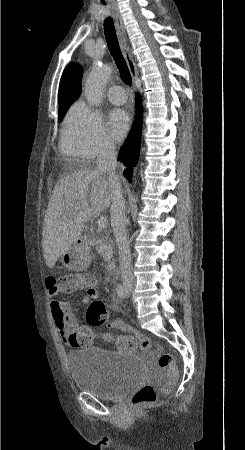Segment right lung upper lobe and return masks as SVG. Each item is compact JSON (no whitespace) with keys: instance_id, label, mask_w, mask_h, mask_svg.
Wrapping results in <instances>:
<instances>
[{"instance_id":"right-lung-upper-lobe-1","label":"right lung upper lobe","mask_w":245,"mask_h":450,"mask_svg":"<svg viewBox=\"0 0 245 450\" xmlns=\"http://www.w3.org/2000/svg\"><path fill=\"white\" fill-rule=\"evenodd\" d=\"M83 69L78 64H70L64 70L59 86V108L72 104L81 94Z\"/></svg>"}]
</instances>
